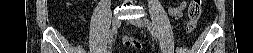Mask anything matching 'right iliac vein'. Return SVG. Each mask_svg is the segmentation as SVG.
<instances>
[{"mask_svg":"<svg viewBox=\"0 0 253 53\" xmlns=\"http://www.w3.org/2000/svg\"><path fill=\"white\" fill-rule=\"evenodd\" d=\"M119 26H120V19L115 18L112 22V29H111V33H113V36L117 33Z\"/></svg>","mask_w":253,"mask_h":53,"instance_id":"1","label":"right iliac vein"}]
</instances>
